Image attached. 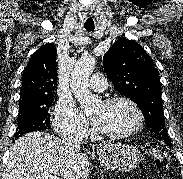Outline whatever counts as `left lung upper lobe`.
Returning <instances> with one entry per match:
<instances>
[{
  "label": "left lung upper lobe",
  "mask_w": 183,
  "mask_h": 179,
  "mask_svg": "<svg viewBox=\"0 0 183 179\" xmlns=\"http://www.w3.org/2000/svg\"><path fill=\"white\" fill-rule=\"evenodd\" d=\"M103 66L115 89L139 106L156 138L170 143L158 69L142 46L134 40L119 38L104 55Z\"/></svg>",
  "instance_id": "obj_1"
}]
</instances>
